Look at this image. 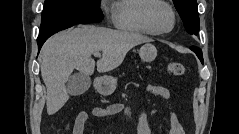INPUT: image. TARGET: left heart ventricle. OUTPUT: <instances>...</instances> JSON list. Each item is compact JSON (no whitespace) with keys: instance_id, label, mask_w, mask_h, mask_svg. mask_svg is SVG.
I'll return each instance as SVG.
<instances>
[{"instance_id":"left-heart-ventricle-1","label":"left heart ventricle","mask_w":239,"mask_h":134,"mask_svg":"<svg viewBox=\"0 0 239 134\" xmlns=\"http://www.w3.org/2000/svg\"><path fill=\"white\" fill-rule=\"evenodd\" d=\"M152 21L158 30H167L172 24V15L163 5H156L152 11Z\"/></svg>"}]
</instances>
